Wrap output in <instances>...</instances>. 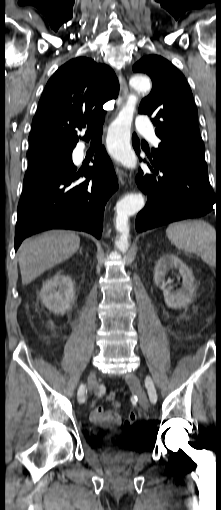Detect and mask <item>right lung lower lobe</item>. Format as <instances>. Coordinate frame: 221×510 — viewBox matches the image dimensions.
<instances>
[{"label":"right lung lower lobe","mask_w":221,"mask_h":510,"mask_svg":"<svg viewBox=\"0 0 221 510\" xmlns=\"http://www.w3.org/2000/svg\"><path fill=\"white\" fill-rule=\"evenodd\" d=\"M99 146L92 167L66 166L27 171L18 204L15 250L26 238L48 229H72L100 238L108 198L118 188L117 177L104 146ZM87 139L86 141H88Z\"/></svg>","instance_id":"right-lung-lower-lobe-1"}]
</instances>
